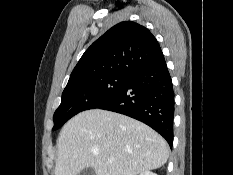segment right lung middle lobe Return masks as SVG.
I'll return each instance as SVG.
<instances>
[{
  "mask_svg": "<svg viewBox=\"0 0 233 175\" xmlns=\"http://www.w3.org/2000/svg\"><path fill=\"white\" fill-rule=\"evenodd\" d=\"M131 75L109 73L68 83L62 101L55 111L53 130L60 128L71 117L94 109L112 99L129 81Z\"/></svg>",
  "mask_w": 233,
  "mask_h": 175,
  "instance_id": "dd1d6c3e",
  "label": "right lung middle lobe"
}]
</instances>
